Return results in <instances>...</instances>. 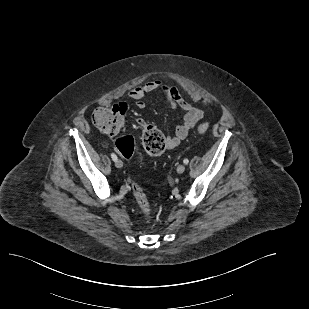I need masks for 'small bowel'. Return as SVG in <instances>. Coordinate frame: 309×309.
<instances>
[{"label": "small bowel", "instance_id": "obj_1", "mask_svg": "<svg viewBox=\"0 0 309 309\" xmlns=\"http://www.w3.org/2000/svg\"><path fill=\"white\" fill-rule=\"evenodd\" d=\"M152 92L159 93L167 107L181 110L183 113L181 122L176 126L174 134L166 139V148L173 149L187 137L189 131L203 118L204 112L185 101L177 87L163 80H152L133 87L128 95L135 101L139 109H143L146 106L145 97ZM138 123L141 127L147 125L143 119H139Z\"/></svg>", "mask_w": 309, "mask_h": 309}]
</instances>
